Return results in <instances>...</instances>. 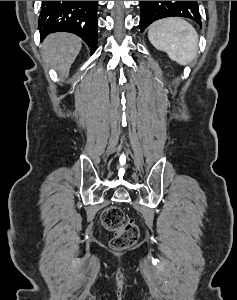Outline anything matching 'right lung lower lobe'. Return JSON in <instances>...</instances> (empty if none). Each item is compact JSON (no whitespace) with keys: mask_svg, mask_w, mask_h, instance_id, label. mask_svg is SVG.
I'll return each instance as SVG.
<instances>
[{"mask_svg":"<svg viewBox=\"0 0 237 300\" xmlns=\"http://www.w3.org/2000/svg\"><path fill=\"white\" fill-rule=\"evenodd\" d=\"M39 31L41 40L54 32L74 33L94 52L97 45V1H43Z\"/></svg>","mask_w":237,"mask_h":300,"instance_id":"1","label":"right lung lower lobe"}]
</instances>
